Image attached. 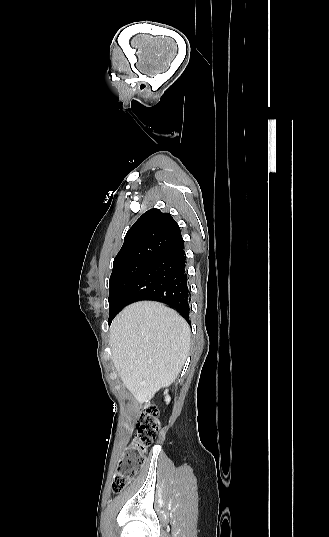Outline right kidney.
<instances>
[{"mask_svg": "<svg viewBox=\"0 0 329 537\" xmlns=\"http://www.w3.org/2000/svg\"><path fill=\"white\" fill-rule=\"evenodd\" d=\"M169 400H170V397H169V396H167V397H166V401H167V402H169Z\"/></svg>", "mask_w": 329, "mask_h": 537, "instance_id": "obj_1", "label": "right kidney"}]
</instances>
